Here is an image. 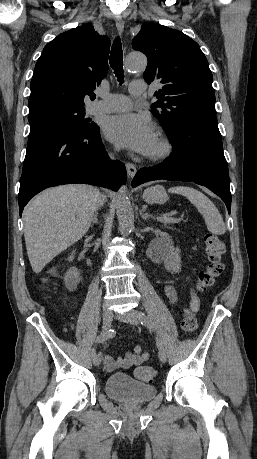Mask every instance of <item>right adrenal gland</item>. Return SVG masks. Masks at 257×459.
<instances>
[{"mask_svg": "<svg viewBox=\"0 0 257 459\" xmlns=\"http://www.w3.org/2000/svg\"><path fill=\"white\" fill-rule=\"evenodd\" d=\"M98 222V212L96 211L94 213V216H93V219H92V222H91V227H93L94 224H97Z\"/></svg>", "mask_w": 257, "mask_h": 459, "instance_id": "1", "label": "right adrenal gland"}]
</instances>
